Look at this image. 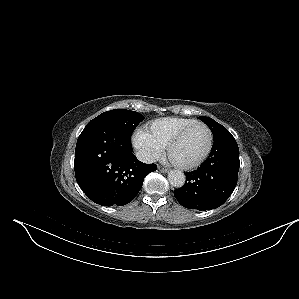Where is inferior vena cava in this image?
I'll use <instances>...</instances> for the list:
<instances>
[{
  "mask_svg": "<svg viewBox=\"0 0 299 299\" xmlns=\"http://www.w3.org/2000/svg\"><path fill=\"white\" fill-rule=\"evenodd\" d=\"M137 158L144 162V163H147V164H151L155 161L154 157L150 154H147V153H143V152H138L136 154Z\"/></svg>",
  "mask_w": 299,
  "mask_h": 299,
  "instance_id": "602c4592",
  "label": "inferior vena cava"
}]
</instances>
